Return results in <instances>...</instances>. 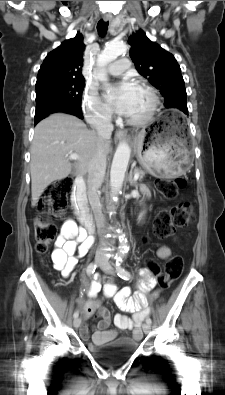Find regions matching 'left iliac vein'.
Returning a JSON list of instances; mask_svg holds the SVG:
<instances>
[{
	"label": "left iliac vein",
	"mask_w": 225,
	"mask_h": 395,
	"mask_svg": "<svg viewBox=\"0 0 225 395\" xmlns=\"http://www.w3.org/2000/svg\"><path fill=\"white\" fill-rule=\"evenodd\" d=\"M100 267L107 274H110V275H114L115 274L113 267L111 266V264L108 262L107 259L104 260V262L102 263V265H100ZM150 330H151L150 324L145 323L143 325L144 333L148 334L150 332Z\"/></svg>",
	"instance_id": "1"
}]
</instances>
